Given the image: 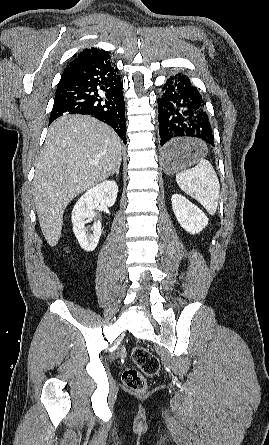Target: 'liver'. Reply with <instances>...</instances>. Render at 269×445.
I'll use <instances>...</instances> for the list:
<instances>
[{
	"label": "liver",
	"instance_id": "liver-1",
	"mask_svg": "<svg viewBox=\"0 0 269 445\" xmlns=\"http://www.w3.org/2000/svg\"><path fill=\"white\" fill-rule=\"evenodd\" d=\"M121 152L114 130L93 117L65 115L51 124L33 189L39 224L50 246L61 237L69 202L112 175L121 164Z\"/></svg>",
	"mask_w": 269,
	"mask_h": 445
}]
</instances>
